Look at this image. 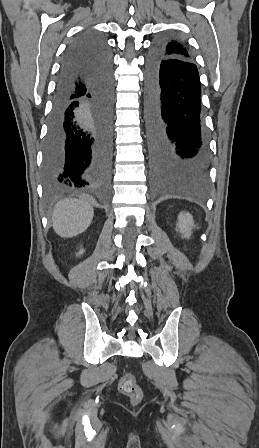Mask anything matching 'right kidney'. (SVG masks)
Returning <instances> with one entry per match:
<instances>
[{"instance_id": "ca27d5eb", "label": "right kidney", "mask_w": 259, "mask_h": 448, "mask_svg": "<svg viewBox=\"0 0 259 448\" xmlns=\"http://www.w3.org/2000/svg\"><path fill=\"white\" fill-rule=\"evenodd\" d=\"M84 250H81V252H79V254H83Z\"/></svg>"}]
</instances>
